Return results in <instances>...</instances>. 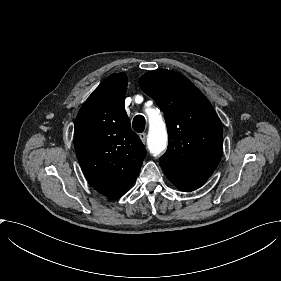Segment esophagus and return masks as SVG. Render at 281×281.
<instances>
[{
	"instance_id": "1",
	"label": "esophagus",
	"mask_w": 281,
	"mask_h": 281,
	"mask_svg": "<svg viewBox=\"0 0 281 281\" xmlns=\"http://www.w3.org/2000/svg\"><path fill=\"white\" fill-rule=\"evenodd\" d=\"M139 137H140V139L142 140L143 143L146 142V133H141V134L139 135Z\"/></svg>"
}]
</instances>
